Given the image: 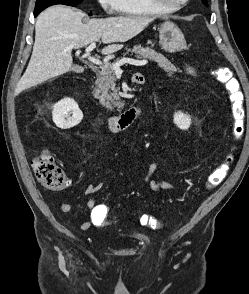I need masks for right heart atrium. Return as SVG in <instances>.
<instances>
[{"mask_svg": "<svg viewBox=\"0 0 249 294\" xmlns=\"http://www.w3.org/2000/svg\"><path fill=\"white\" fill-rule=\"evenodd\" d=\"M118 0H98L102 8L108 12L113 13L118 11Z\"/></svg>", "mask_w": 249, "mask_h": 294, "instance_id": "d8ad5b80", "label": "right heart atrium"}]
</instances>
